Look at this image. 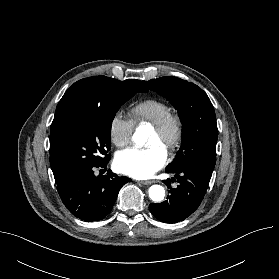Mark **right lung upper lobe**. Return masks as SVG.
<instances>
[{"instance_id": "1", "label": "right lung upper lobe", "mask_w": 279, "mask_h": 279, "mask_svg": "<svg viewBox=\"0 0 279 279\" xmlns=\"http://www.w3.org/2000/svg\"><path fill=\"white\" fill-rule=\"evenodd\" d=\"M103 84L129 85L140 90L141 92L147 91V88L139 80L136 79L119 81L105 76H94L79 80L78 82L70 86V88L65 92V94L59 101L52 123H55L60 115L64 112V110L70 104L77 100L87 99L100 102V100L102 99L101 85ZM50 165L55 177V181L57 183L62 178L59 174L58 163L53 155L50 156Z\"/></svg>"}]
</instances>
